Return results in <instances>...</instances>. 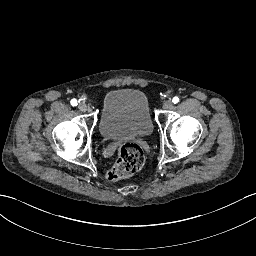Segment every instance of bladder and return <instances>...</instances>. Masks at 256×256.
<instances>
[{"label": "bladder", "mask_w": 256, "mask_h": 256, "mask_svg": "<svg viewBox=\"0 0 256 256\" xmlns=\"http://www.w3.org/2000/svg\"><path fill=\"white\" fill-rule=\"evenodd\" d=\"M99 128L105 138L151 133L152 122L144 93L125 88L107 92L102 101Z\"/></svg>", "instance_id": "1"}]
</instances>
